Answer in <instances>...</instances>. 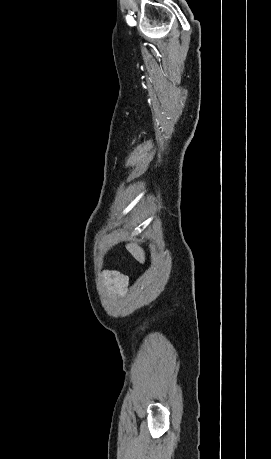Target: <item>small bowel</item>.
Segmentation results:
<instances>
[{"instance_id":"small-bowel-1","label":"small bowel","mask_w":271,"mask_h":459,"mask_svg":"<svg viewBox=\"0 0 271 459\" xmlns=\"http://www.w3.org/2000/svg\"><path fill=\"white\" fill-rule=\"evenodd\" d=\"M103 283L115 300L124 296L129 286L127 276L116 271H105L103 274Z\"/></svg>"}]
</instances>
